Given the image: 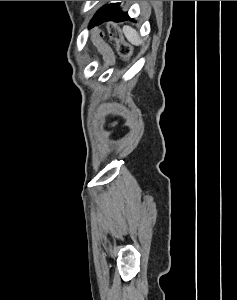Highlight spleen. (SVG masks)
Wrapping results in <instances>:
<instances>
[{
	"instance_id": "1",
	"label": "spleen",
	"mask_w": 237,
	"mask_h": 300,
	"mask_svg": "<svg viewBox=\"0 0 237 300\" xmlns=\"http://www.w3.org/2000/svg\"><path fill=\"white\" fill-rule=\"evenodd\" d=\"M123 33L126 39H128L129 43H131V45H141L142 41L141 39H139V35L137 31H135V29H132V27H128V25H125V27H123Z\"/></svg>"
}]
</instances>
